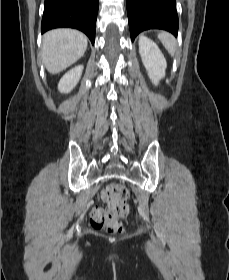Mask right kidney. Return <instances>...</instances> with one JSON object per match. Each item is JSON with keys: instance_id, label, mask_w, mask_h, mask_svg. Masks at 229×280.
Masks as SVG:
<instances>
[{"instance_id": "ca27d5eb", "label": "right kidney", "mask_w": 229, "mask_h": 280, "mask_svg": "<svg viewBox=\"0 0 229 280\" xmlns=\"http://www.w3.org/2000/svg\"><path fill=\"white\" fill-rule=\"evenodd\" d=\"M83 65H78L69 70L59 81L58 90L61 93H69L79 82Z\"/></svg>"}]
</instances>
